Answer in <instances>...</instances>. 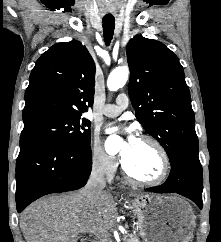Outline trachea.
Here are the masks:
<instances>
[{
	"label": "trachea",
	"mask_w": 221,
	"mask_h": 242,
	"mask_svg": "<svg viewBox=\"0 0 221 242\" xmlns=\"http://www.w3.org/2000/svg\"><path fill=\"white\" fill-rule=\"evenodd\" d=\"M103 33H104V41L108 46L111 43L114 29H115V19L113 18H103Z\"/></svg>",
	"instance_id": "3493384b"
}]
</instances>
